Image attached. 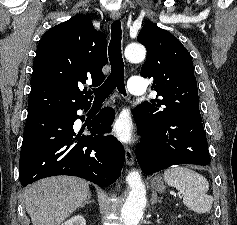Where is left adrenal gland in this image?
Here are the masks:
<instances>
[{
	"label": "left adrenal gland",
	"mask_w": 237,
	"mask_h": 225,
	"mask_svg": "<svg viewBox=\"0 0 237 225\" xmlns=\"http://www.w3.org/2000/svg\"><path fill=\"white\" fill-rule=\"evenodd\" d=\"M156 203H161V200L157 199L156 193H153L151 197V204L154 205Z\"/></svg>",
	"instance_id": "a2214340"
}]
</instances>
